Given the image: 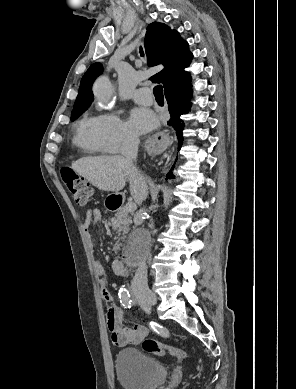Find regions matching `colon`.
<instances>
[{"mask_svg": "<svg viewBox=\"0 0 296 389\" xmlns=\"http://www.w3.org/2000/svg\"><path fill=\"white\" fill-rule=\"evenodd\" d=\"M61 177L74 201L79 205H86L90 198L89 184L82 177L78 176L69 166L61 168ZM142 347L146 352L158 356L169 355L179 360H185L187 358V353L182 349L165 345L152 338L144 339Z\"/></svg>", "mask_w": 296, "mask_h": 389, "instance_id": "5ec220e1", "label": "colon"}]
</instances>
